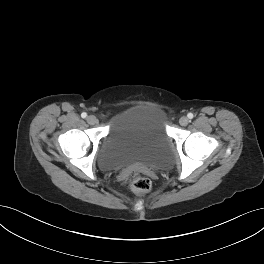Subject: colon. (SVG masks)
Listing matches in <instances>:
<instances>
[{
  "instance_id": "obj_1",
  "label": "colon",
  "mask_w": 264,
  "mask_h": 264,
  "mask_svg": "<svg viewBox=\"0 0 264 264\" xmlns=\"http://www.w3.org/2000/svg\"><path fill=\"white\" fill-rule=\"evenodd\" d=\"M130 186L133 190L140 193H147L151 189V182L148 178L133 173L130 177Z\"/></svg>"
}]
</instances>
